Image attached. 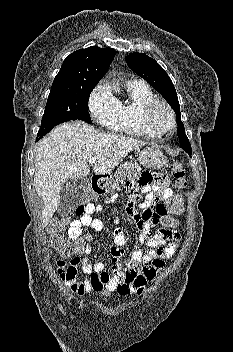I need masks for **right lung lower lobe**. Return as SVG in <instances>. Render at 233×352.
Instances as JSON below:
<instances>
[{"mask_svg": "<svg viewBox=\"0 0 233 352\" xmlns=\"http://www.w3.org/2000/svg\"><path fill=\"white\" fill-rule=\"evenodd\" d=\"M52 130V128L51 129H49V130H47V131H44V132H41V133H38L37 134V138H36V140H40L43 136H45L49 131H51Z\"/></svg>", "mask_w": 233, "mask_h": 352, "instance_id": "98d812e1", "label": "right lung lower lobe"}]
</instances>
